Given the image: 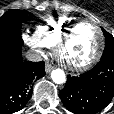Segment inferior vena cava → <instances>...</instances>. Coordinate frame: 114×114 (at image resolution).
I'll use <instances>...</instances> for the list:
<instances>
[{"instance_id": "1", "label": "inferior vena cava", "mask_w": 114, "mask_h": 114, "mask_svg": "<svg viewBox=\"0 0 114 114\" xmlns=\"http://www.w3.org/2000/svg\"><path fill=\"white\" fill-rule=\"evenodd\" d=\"M26 58L29 61H33V62L41 61L42 60L41 54L39 52H35V51H28L26 53Z\"/></svg>"}]
</instances>
